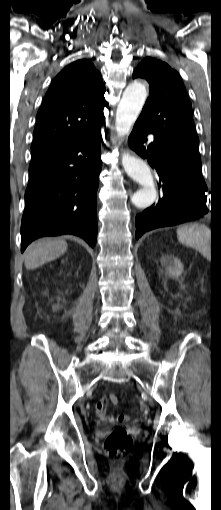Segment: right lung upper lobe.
I'll use <instances>...</instances> for the list:
<instances>
[{"instance_id":"right-lung-upper-lobe-1","label":"right lung upper lobe","mask_w":221,"mask_h":510,"mask_svg":"<svg viewBox=\"0 0 221 510\" xmlns=\"http://www.w3.org/2000/svg\"><path fill=\"white\" fill-rule=\"evenodd\" d=\"M105 86L88 60L65 67L53 80L37 113L32 153L66 142L102 122Z\"/></svg>"}]
</instances>
